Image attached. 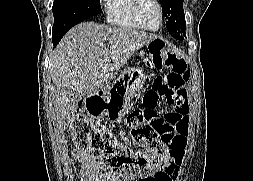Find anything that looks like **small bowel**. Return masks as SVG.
I'll use <instances>...</instances> for the list:
<instances>
[{"label": "small bowel", "mask_w": 253, "mask_h": 181, "mask_svg": "<svg viewBox=\"0 0 253 181\" xmlns=\"http://www.w3.org/2000/svg\"><path fill=\"white\" fill-rule=\"evenodd\" d=\"M153 63L157 65L156 60ZM186 110H188V104ZM175 130H180L176 134L174 143L175 153L178 157L171 159L163 167H151V173L142 177L140 181H171L172 176L177 174L183 162L187 135L190 130L187 116H181L178 125H175ZM72 157L77 162L81 181H134L136 179L134 175L117 176L102 171L94 159L82 151L74 150Z\"/></svg>", "instance_id": "c3829d8e"}]
</instances>
